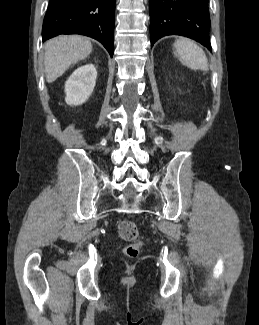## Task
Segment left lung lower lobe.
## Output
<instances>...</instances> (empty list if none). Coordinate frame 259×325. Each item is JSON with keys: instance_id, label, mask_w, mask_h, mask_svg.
Segmentation results:
<instances>
[{"instance_id": "1", "label": "left lung lower lobe", "mask_w": 259, "mask_h": 325, "mask_svg": "<svg viewBox=\"0 0 259 325\" xmlns=\"http://www.w3.org/2000/svg\"><path fill=\"white\" fill-rule=\"evenodd\" d=\"M208 3L209 0H149L151 46L161 37L181 35L211 50Z\"/></svg>"}]
</instances>
